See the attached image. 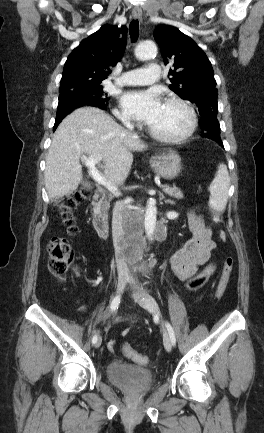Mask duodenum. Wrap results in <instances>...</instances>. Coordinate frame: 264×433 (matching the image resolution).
Masks as SVG:
<instances>
[{"label":"duodenum","mask_w":264,"mask_h":433,"mask_svg":"<svg viewBox=\"0 0 264 433\" xmlns=\"http://www.w3.org/2000/svg\"><path fill=\"white\" fill-rule=\"evenodd\" d=\"M103 199L104 193L102 191H95L92 195L89 211L97 234L105 239L109 235L110 227L107 218L102 214L100 209Z\"/></svg>","instance_id":"obj_1"}]
</instances>
